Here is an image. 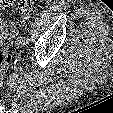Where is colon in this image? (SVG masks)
Returning a JSON list of instances; mask_svg holds the SVG:
<instances>
[{
    "instance_id": "1",
    "label": "colon",
    "mask_w": 113,
    "mask_h": 113,
    "mask_svg": "<svg viewBox=\"0 0 113 113\" xmlns=\"http://www.w3.org/2000/svg\"><path fill=\"white\" fill-rule=\"evenodd\" d=\"M17 0H0V8L1 7H8L10 5H13L14 2ZM34 8V1L33 0H24L20 6H19V13L22 16H27ZM9 61V55L6 51L0 50V73L2 69L5 67V65Z\"/></svg>"
}]
</instances>
